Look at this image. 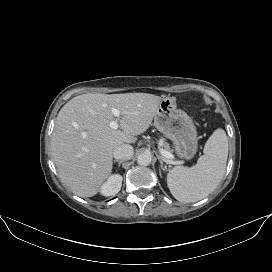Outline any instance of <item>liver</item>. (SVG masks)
<instances>
[{"instance_id":"1","label":"liver","mask_w":272,"mask_h":272,"mask_svg":"<svg viewBox=\"0 0 272 272\" xmlns=\"http://www.w3.org/2000/svg\"><path fill=\"white\" fill-rule=\"evenodd\" d=\"M162 98L148 93L83 94L59 111L51 138L62 182L80 197L98 193L112 172L113 151L136 142L151 125ZM120 111L115 118L112 109ZM117 120L120 129H112Z\"/></svg>"}]
</instances>
